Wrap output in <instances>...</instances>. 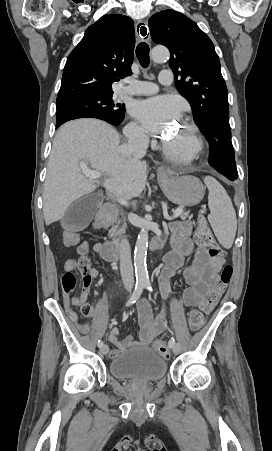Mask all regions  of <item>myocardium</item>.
<instances>
[{
    "label": "myocardium",
    "instance_id": "obj_1",
    "mask_svg": "<svg viewBox=\"0 0 272 451\" xmlns=\"http://www.w3.org/2000/svg\"><path fill=\"white\" fill-rule=\"evenodd\" d=\"M184 127L189 132L188 141L183 145H177L166 148L172 153V156L176 159H194L198 156L201 149V141L198 136L197 129L188 122H183Z\"/></svg>",
    "mask_w": 272,
    "mask_h": 451
}]
</instances>
